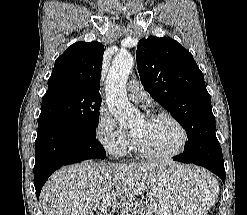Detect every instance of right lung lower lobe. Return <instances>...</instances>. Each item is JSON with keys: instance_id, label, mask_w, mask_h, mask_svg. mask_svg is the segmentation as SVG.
<instances>
[{"instance_id": "1", "label": "right lung lower lobe", "mask_w": 247, "mask_h": 215, "mask_svg": "<svg viewBox=\"0 0 247 215\" xmlns=\"http://www.w3.org/2000/svg\"><path fill=\"white\" fill-rule=\"evenodd\" d=\"M103 146L81 129L62 124L38 127L35 141L34 186L39 199L48 177L63 165L92 158H105Z\"/></svg>"}]
</instances>
